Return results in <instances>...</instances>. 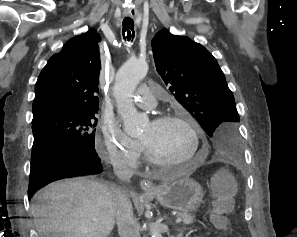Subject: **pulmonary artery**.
<instances>
[{"instance_id": "e3ab8cb5", "label": "pulmonary artery", "mask_w": 297, "mask_h": 237, "mask_svg": "<svg viewBox=\"0 0 297 237\" xmlns=\"http://www.w3.org/2000/svg\"><path fill=\"white\" fill-rule=\"evenodd\" d=\"M159 93L151 85H141L134 97V102L141 107H154Z\"/></svg>"}]
</instances>
